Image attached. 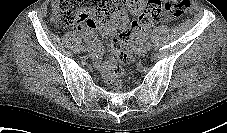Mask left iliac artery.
I'll return each mask as SVG.
<instances>
[{"label":"left iliac artery","mask_w":227,"mask_h":133,"mask_svg":"<svg viewBox=\"0 0 227 133\" xmlns=\"http://www.w3.org/2000/svg\"><path fill=\"white\" fill-rule=\"evenodd\" d=\"M146 45L148 46V49L150 50L151 49V46H152L151 43L150 42H147Z\"/></svg>","instance_id":"44dca946"}]
</instances>
